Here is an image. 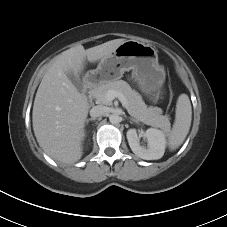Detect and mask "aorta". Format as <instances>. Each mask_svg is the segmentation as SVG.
<instances>
[{
    "label": "aorta",
    "mask_w": 227,
    "mask_h": 227,
    "mask_svg": "<svg viewBox=\"0 0 227 227\" xmlns=\"http://www.w3.org/2000/svg\"><path fill=\"white\" fill-rule=\"evenodd\" d=\"M109 121H110L112 124H117V123L120 122V117H119V115H117V114H111V115L109 116Z\"/></svg>",
    "instance_id": "1"
}]
</instances>
